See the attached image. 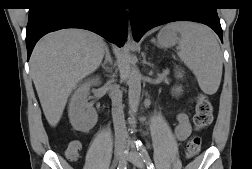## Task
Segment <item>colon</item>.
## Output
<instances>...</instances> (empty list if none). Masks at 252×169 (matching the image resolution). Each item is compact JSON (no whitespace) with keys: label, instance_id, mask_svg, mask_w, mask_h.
Listing matches in <instances>:
<instances>
[{"label":"colon","instance_id":"colon-1","mask_svg":"<svg viewBox=\"0 0 252 169\" xmlns=\"http://www.w3.org/2000/svg\"><path fill=\"white\" fill-rule=\"evenodd\" d=\"M213 106L209 98L200 94L196 101L195 113L193 117L194 128L201 131L209 126L212 122ZM201 149V138L198 135L192 136L186 146V157L194 158ZM66 157L69 160H76L78 153L76 147H71L66 151Z\"/></svg>","mask_w":252,"mask_h":169}]
</instances>
